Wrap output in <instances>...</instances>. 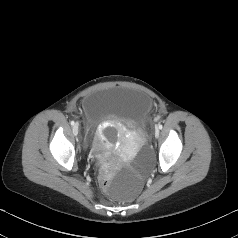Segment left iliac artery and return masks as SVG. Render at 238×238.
Here are the masks:
<instances>
[{
    "label": "left iliac artery",
    "mask_w": 238,
    "mask_h": 238,
    "mask_svg": "<svg viewBox=\"0 0 238 238\" xmlns=\"http://www.w3.org/2000/svg\"><path fill=\"white\" fill-rule=\"evenodd\" d=\"M158 128H159V129H162V125H161V124H159V125H158Z\"/></svg>",
    "instance_id": "left-iliac-artery-1"
}]
</instances>
